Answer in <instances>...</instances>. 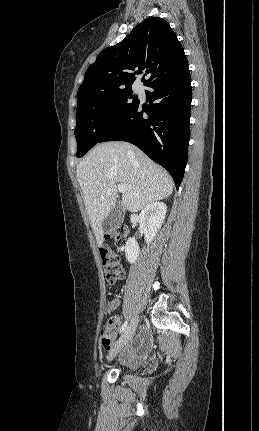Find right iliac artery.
<instances>
[{
    "mask_svg": "<svg viewBox=\"0 0 259 431\" xmlns=\"http://www.w3.org/2000/svg\"><path fill=\"white\" fill-rule=\"evenodd\" d=\"M127 324H128V321L126 320V321L123 323V325H122V327H121V329H120V333H122V332H124V331H125V329L127 328Z\"/></svg>",
    "mask_w": 259,
    "mask_h": 431,
    "instance_id": "right-iliac-artery-1",
    "label": "right iliac artery"
}]
</instances>
